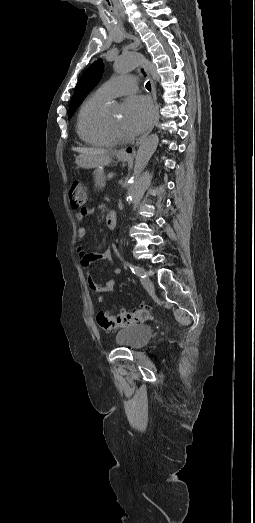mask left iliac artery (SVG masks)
Segmentation results:
<instances>
[{"instance_id": "44dca946", "label": "left iliac artery", "mask_w": 255, "mask_h": 523, "mask_svg": "<svg viewBox=\"0 0 255 523\" xmlns=\"http://www.w3.org/2000/svg\"><path fill=\"white\" fill-rule=\"evenodd\" d=\"M126 265L130 268V270L132 271V273L140 276L141 278H144L145 275H144V271L141 267H138V266H135L129 262L126 263Z\"/></svg>"}]
</instances>
